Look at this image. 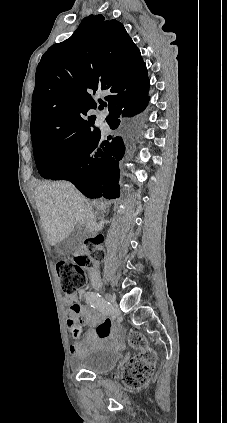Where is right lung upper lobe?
<instances>
[{"instance_id":"obj_1","label":"right lung upper lobe","mask_w":227,"mask_h":423,"mask_svg":"<svg viewBox=\"0 0 227 423\" xmlns=\"http://www.w3.org/2000/svg\"><path fill=\"white\" fill-rule=\"evenodd\" d=\"M146 65L124 26L105 16L85 18L67 40L52 45L36 70L32 96V142L54 136H86L95 116L92 94L104 90L108 107L145 94Z\"/></svg>"}]
</instances>
